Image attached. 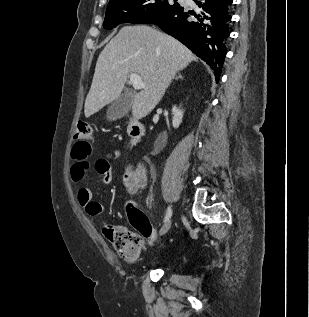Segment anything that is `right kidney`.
Wrapping results in <instances>:
<instances>
[{
  "label": "right kidney",
  "mask_w": 309,
  "mask_h": 317,
  "mask_svg": "<svg viewBox=\"0 0 309 317\" xmlns=\"http://www.w3.org/2000/svg\"><path fill=\"white\" fill-rule=\"evenodd\" d=\"M172 125L174 128H178L180 124L182 123V118H183V111L176 106L172 108Z\"/></svg>",
  "instance_id": "obj_1"
}]
</instances>
